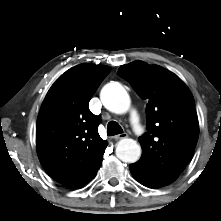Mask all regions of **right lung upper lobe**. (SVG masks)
<instances>
[{"instance_id":"right-lung-upper-lobe-1","label":"right lung upper lobe","mask_w":221,"mask_h":221,"mask_svg":"<svg viewBox=\"0 0 221 221\" xmlns=\"http://www.w3.org/2000/svg\"><path fill=\"white\" fill-rule=\"evenodd\" d=\"M110 68L83 63L61 75L48 91L36 127L37 152L59 183L79 187L94 177L107 147L89 101Z\"/></svg>"}]
</instances>
